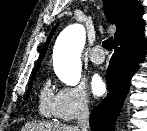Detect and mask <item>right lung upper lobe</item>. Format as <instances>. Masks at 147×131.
<instances>
[{"mask_svg":"<svg viewBox=\"0 0 147 131\" xmlns=\"http://www.w3.org/2000/svg\"><path fill=\"white\" fill-rule=\"evenodd\" d=\"M103 3L107 20L117 27L114 43L127 39L143 29V8L138 0H103ZM52 33L43 47L34 71L38 70L44 58Z\"/></svg>","mask_w":147,"mask_h":131,"instance_id":"obj_1","label":"right lung upper lobe"}]
</instances>
